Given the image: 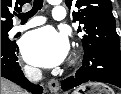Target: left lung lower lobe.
<instances>
[{
  "mask_svg": "<svg viewBox=\"0 0 121 94\" xmlns=\"http://www.w3.org/2000/svg\"><path fill=\"white\" fill-rule=\"evenodd\" d=\"M90 81L105 82L121 88V51L109 49L85 51L82 67L74 76L62 82V89H71Z\"/></svg>",
  "mask_w": 121,
  "mask_h": 94,
  "instance_id": "obj_1",
  "label": "left lung lower lobe"
}]
</instances>
